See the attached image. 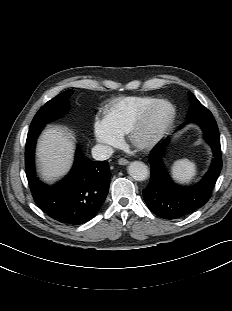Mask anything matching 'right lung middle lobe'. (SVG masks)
I'll return each instance as SVG.
<instances>
[{
  "label": "right lung middle lobe",
  "mask_w": 232,
  "mask_h": 311,
  "mask_svg": "<svg viewBox=\"0 0 232 311\" xmlns=\"http://www.w3.org/2000/svg\"><path fill=\"white\" fill-rule=\"evenodd\" d=\"M73 92L74 91L72 89L66 90L42 106L36 113L30 125V129L43 127L45 124L65 114L69 106L68 98L73 94Z\"/></svg>",
  "instance_id": "1"
}]
</instances>
